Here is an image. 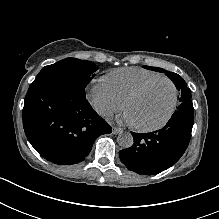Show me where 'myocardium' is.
<instances>
[{"mask_svg": "<svg viewBox=\"0 0 219 219\" xmlns=\"http://www.w3.org/2000/svg\"><path fill=\"white\" fill-rule=\"evenodd\" d=\"M162 81L168 82L172 87L173 98H172L171 105H170L166 115L164 116L162 121H160L159 123H157L155 125H152V126H139V125L134 124L133 125L134 128L137 129L138 131H142V132L155 131V130H158V129L162 128L163 126H165L167 124V122L172 117L173 112H174V110L176 108V105H177L178 92H177L176 85L174 84V82L171 79H169L167 77L156 78V79H153V80L148 81L145 84L141 85L139 88H137L132 93H130L127 96V98L124 100L123 107H124V110L127 111V106L132 100L139 97L141 94H143L147 89L152 87L154 84H156L158 82H162Z\"/></svg>", "mask_w": 219, "mask_h": 219, "instance_id": "1", "label": "myocardium"}]
</instances>
